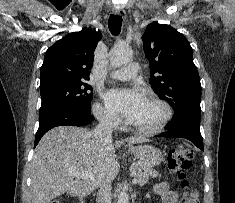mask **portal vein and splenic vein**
<instances>
[{
  "instance_id": "18ae733b",
  "label": "portal vein and splenic vein",
  "mask_w": 235,
  "mask_h": 203,
  "mask_svg": "<svg viewBox=\"0 0 235 203\" xmlns=\"http://www.w3.org/2000/svg\"><path fill=\"white\" fill-rule=\"evenodd\" d=\"M71 175L77 177V178H82V179H86V180H95V177L92 173H88V172H75V171H71L70 172ZM134 184H136L138 182L137 178L135 177L132 181Z\"/></svg>"
}]
</instances>
